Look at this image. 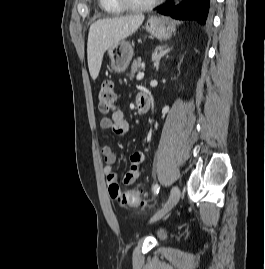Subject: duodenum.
I'll list each match as a JSON object with an SVG mask.
<instances>
[{
	"label": "duodenum",
	"mask_w": 265,
	"mask_h": 269,
	"mask_svg": "<svg viewBox=\"0 0 265 269\" xmlns=\"http://www.w3.org/2000/svg\"><path fill=\"white\" fill-rule=\"evenodd\" d=\"M136 102L139 112L146 113L149 110L150 102L149 97L146 94L144 93L138 94Z\"/></svg>",
	"instance_id": "1"
}]
</instances>
